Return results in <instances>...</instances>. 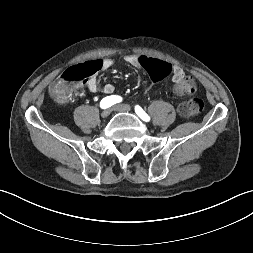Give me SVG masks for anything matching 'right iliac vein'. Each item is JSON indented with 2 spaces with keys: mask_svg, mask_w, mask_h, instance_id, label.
<instances>
[{
  "mask_svg": "<svg viewBox=\"0 0 253 253\" xmlns=\"http://www.w3.org/2000/svg\"><path fill=\"white\" fill-rule=\"evenodd\" d=\"M111 113V110L110 109H106L104 110L102 113H101V117L102 118H107Z\"/></svg>",
  "mask_w": 253,
  "mask_h": 253,
  "instance_id": "63e3f726",
  "label": "right iliac vein"
}]
</instances>
